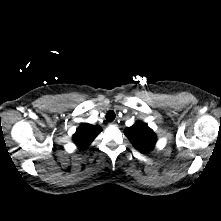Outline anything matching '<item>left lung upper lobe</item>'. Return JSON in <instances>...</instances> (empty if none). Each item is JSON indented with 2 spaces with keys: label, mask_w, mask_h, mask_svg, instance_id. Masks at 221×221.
Returning a JSON list of instances; mask_svg holds the SVG:
<instances>
[{
  "label": "left lung upper lobe",
  "mask_w": 221,
  "mask_h": 221,
  "mask_svg": "<svg viewBox=\"0 0 221 221\" xmlns=\"http://www.w3.org/2000/svg\"><path fill=\"white\" fill-rule=\"evenodd\" d=\"M124 133L133 146L142 153H147L153 149L157 141L156 135L152 129L141 121L127 128Z\"/></svg>",
  "instance_id": "obj_1"
}]
</instances>
